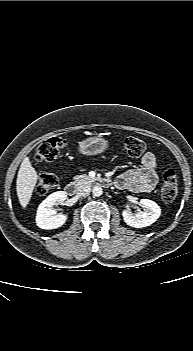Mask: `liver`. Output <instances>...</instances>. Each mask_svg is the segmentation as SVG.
<instances>
[{
	"label": "liver",
	"mask_w": 193,
	"mask_h": 351,
	"mask_svg": "<svg viewBox=\"0 0 193 351\" xmlns=\"http://www.w3.org/2000/svg\"><path fill=\"white\" fill-rule=\"evenodd\" d=\"M37 180L36 170L31 165L29 158L25 157L20 165L16 181L17 196L23 208L28 205Z\"/></svg>",
	"instance_id": "obj_1"
}]
</instances>
